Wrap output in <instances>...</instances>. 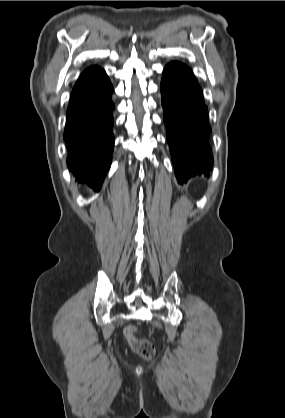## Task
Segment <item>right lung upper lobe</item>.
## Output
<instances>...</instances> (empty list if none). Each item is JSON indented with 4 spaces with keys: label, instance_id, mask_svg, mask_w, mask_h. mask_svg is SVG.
Masks as SVG:
<instances>
[{
    "label": "right lung upper lobe",
    "instance_id": "cb5924a9",
    "mask_svg": "<svg viewBox=\"0 0 285 418\" xmlns=\"http://www.w3.org/2000/svg\"><path fill=\"white\" fill-rule=\"evenodd\" d=\"M101 70V68L97 67V66H91L89 68H87L79 77L78 81L76 84L80 83L81 81H83L84 79H86L87 77H89L90 75L96 74ZM75 84V85H76Z\"/></svg>",
    "mask_w": 285,
    "mask_h": 418
}]
</instances>
